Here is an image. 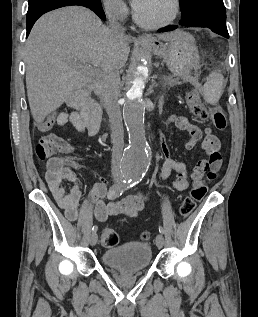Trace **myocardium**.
Listing matches in <instances>:
<instances>
[{
  "instance_id": "myocardium-1",
  "label": "myocardium",
  "mask_w": 258,
  "mask_h": 317,
  "mask_svg": "<svg viewBox=\"0 0 258 317\" xmlns=\"http://www.w3.org/2000/svg\"><path fill=\"white\" fill-rule=\"evenodd\" d=\"M153 1L154 0H142L135 6V8H134V21H135V23L138 26H140V27H142V28H144V29H146L148 31H160V30L165 29L169 25H171L175 21V19L177 18L178 13H179V2L177 0H168V1H170L173 4V14H172V16L168 20H166L165 22L161 23L158 26L146 27L140 20L139 10L145 4L151 3Z\"/></svg>"
}]
</instances>
